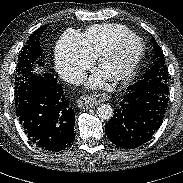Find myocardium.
<instances>
[{
    "instance_id": "myocardium-1",
    "label": "myocardium",
    "mask_w": 183,
    "mask_h": 183,
    "mask_svg": "<svg viewBox=\"0 0 183 183\" xmlns=\"http://www.w3.org/2000/svg\"><path fill=\"white\" fill-rule=\"evenodd\" d=\"M130 43H136L138 45V51L133 60L121 71L110 74L107 78L112 82H122L133 77L138 70L140 63L145 53V46L142 40L136 36L129 37L117 42L113 47L105 51L99 56L98 69L104 70L108 63L114 59L121 50Z\"/></svg>"
}]
</instances>
